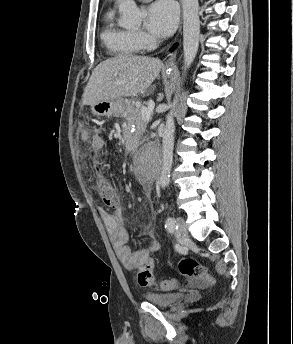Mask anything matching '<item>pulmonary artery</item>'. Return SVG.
Returning <instances> with one entry per match:
<instances>
[{
    "mask_svg": "<svg viewBox=\"0 0 293 344\" xmlns=\"http://www.w3.org/2000/svg\"><path fill=\"white\" fill-rule=\"evenodd\" d=\"M141 1H149V0H141Z\"/></svg>",
    "mask_w": 293,
    "mask_h": 344,
    "instance_id": "pulmonary-artery-1",
    "label": "pulmonary artery"
}]
</instances>
